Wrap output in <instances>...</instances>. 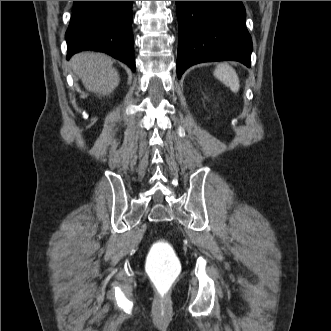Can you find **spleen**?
<instances>
[{
	"label": "spleen",
	"mask_w": 331,
	"mask_h": 331,
	"mask_svg": "<svg viewBox=\"0 0 331 331\" xmlns=\"http://www.w3.org/2000/svg\"><path fill=\"white\" fill-rule=\"evenodd\" d=\"M214 76L218 78L224 85L229 87L232 92H238L239 78L236 71L229 64H218L214 70Z\"/></svg>",
	"instance_id": "obj_1"
}]
</instances>
